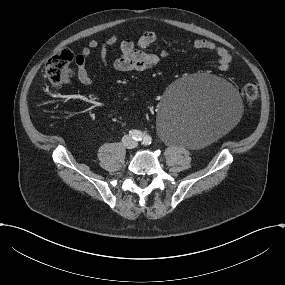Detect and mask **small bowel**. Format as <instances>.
<instances>
[{
	"instance_id": "1",
	"label": "small bowel",
	"mask_w": 285,
	"mask_h": 285,
	"mask_svg": "<svg viewBox=\"0 0 285 285\" xmlns=\"http://www.w3.org/2000/svg\"><path fill=\"white\" fill-rule=\"evenodd\" d=\"M155 41L156 35L151 31L144 33L136 42L129 39H124L119 42L118 35H112L102 43L97 40H90L88 44L75 55L78 81L84 86L92 85L93 79L86 67L87 59L93 51L98 50L101 61L103 64L108 65L109 50L116 45H118L119 55L110 64L113 71H145L156 67L161 59L168 56V53L165 50H162L158 54L148 53L146 48L152 45ZM192 45L194 48L199 50L214 52L218 57L219 69L221 71L229 70L232 62V56L225 47L206 39H196L193 41ZM64 83H68V80Z\"/></svg>"
}]
</instances>
